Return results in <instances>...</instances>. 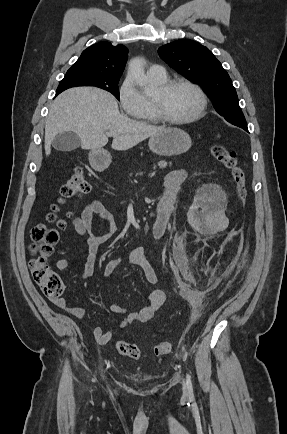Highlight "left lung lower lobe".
Wrapping results in <instances>:
<instances>
[{
  "label": "left lung lower lobe",
  "instance_id": "left-lung-lower-lobe-1",
  "mask_svg": "<svg viewBox=\"0 0 287 434\" xmlns=\"http://www.w3.org/2000/svg\"><path fill=\"white\" fill-rule=\"evenodd\" d=\"M232 124H234V125H236V126H238V127H241V128H243L245 131L248 132V128H247V126H246V122H232Z\"/></svg>",
  "mask_w": 287,
  "mask_h": 434
}]
</instances>
